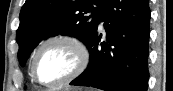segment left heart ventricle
<instances>
[{"mask_svg": "<svg viewBox=\"0 0 173 91\" xmlns=\"http://www.w3.org/2000/svg\"><path fill=\"white\" fill-rule=\"evenodd\" d=\"M75 51L64 43H53L41 52L37 75L43 82H55L68 75L76 66Z\"/></svg>", "mask_w": 173, "mask_h": 91, "instance_id": "obj_1", "label": "left heart ventricle"}]
</instances>
